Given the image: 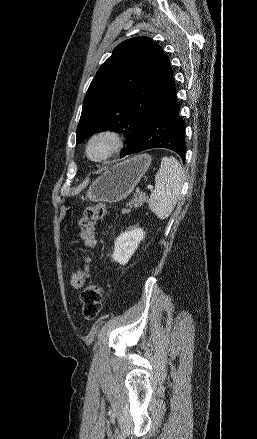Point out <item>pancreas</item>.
Segmentation results:
<instances>
[{
    "instance_id": "obj_1",
    "label": "pancreas",
    "mask_w": 257,
    "mask_h": 439,
    "mask_svg": "<svg viewBox=\"0 0 257 439\" xmlns=\"http://www.w3.org/2000/svg\"><path fill=\"white\" fill-rule=\"evenodd\" d=\"M148 200V196H146L143 193H137L135 194L134 198L126 205L127 209H123L122 213L123 214H128L129 212H131L132 207L138 208L140 206H142L143 203L147 202Z\"/></svg>"
}]
</instances>
